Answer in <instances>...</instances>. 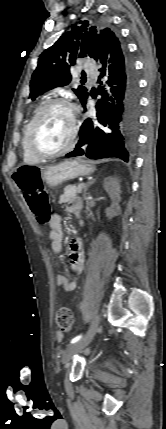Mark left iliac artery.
I'll list each match as a JSON object with an SVG mask.
<instances>
[{"label": "left iliac artery", "instance_id": "1", "mask_svg": "<svg viewBox=\"0 0 166 429\" xmlns=\"http://www.w3.org/2000/svg\"><path fill=\"white\" fill-rule=\"evenodd\" d=\"M82 334L81 335H78V336H76V337H74L72 340H71V344H73V343H75V342H77V341H79L81 338H82Z\"/></svg>", "mask_w": 166, "mask_h": 429}]
</instances>
